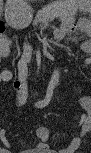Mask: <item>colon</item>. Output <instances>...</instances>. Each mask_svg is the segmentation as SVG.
Instances as JSON below:
<instances>
[{
  "mask_svg": "<svg viewBox=\"0 0 91 153\" xmlns=\"http://www.w3.org/2000/svg\"><path fill=\"white\" fill-rule=\"evenodd\" d=\"M1 42H2L3 46H8L10 43L9 39L4 35L1 36Z\"/></svg>",
  "mask_w": 91,
  "mask_h": 153,
  "instance_id": "obj_1",
  "label": "colon"
}]
</instances>
